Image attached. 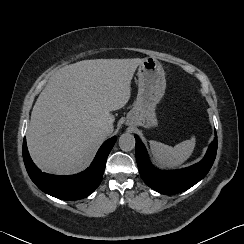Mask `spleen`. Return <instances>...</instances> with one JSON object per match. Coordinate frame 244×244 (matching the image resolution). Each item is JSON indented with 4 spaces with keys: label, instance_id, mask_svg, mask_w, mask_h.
I'll list each match as a JSON object with an SVG mask.
<instances>
[{
    "label": "spleen",
    "instance_id": "3e777b00",
    "mask_svg": "<svg viewBox=\"0 0 244 244\" xmlns=\"http://www.w3.org/2000/svg\"><path fill=\"white\" fill-rule=\"evenodd\" d=\"M155 161L162 167L176 168L184 163L193 153L195 138L182 141L174 147L157 141H149Z\"/></svg>",
    "mask_w": 244,
    "mask_h": 244
}]
</instances>
